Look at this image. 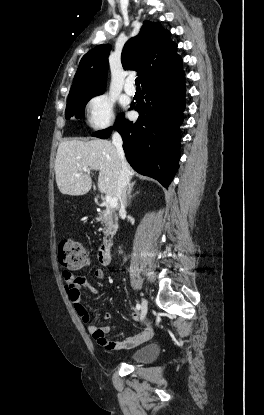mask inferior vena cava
Masks as SVG:
<instances>
[{
	"label": "inferior vena cava",
	"instance_id": "inferior-vena-cava-1",
	"mask_svg": "<svg viewBox=\"0 0 264 415\" xmlns=\"http://www.w3.org/2000/svg\"><path fill=\"white\" fill-rule=\"evenodd\" d=\"M112 143L115 146L117 150V154L121 160V170L118 177L117 182V190H116V196L120 201V211H125L126 207V191H127V185L129 184V170L127 167V163L125 160V154L123 151V142L121 136L114 132L112 135Z\"/></svg>",
	"mask_w": 264,
	"mask_h": 415
}]
</instances>
